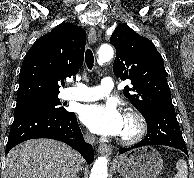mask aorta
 I'll return each instance as SVG.
<instances>
[{
  "mask_svg": "<svg viewBox=\"0 0 194 178\" xmlns=\"http://www.w3.org/2000/svg\"><path fill=\"white\" fill-rule=\"evenodd\" d=\"M114 51L113 48L104 44L100 47L98 51V60L100 63H105L113 58ZM108 176V159L106 156L99 157L91 170L90 178H107Z\"/></svg>",
  "mask_w": 194,
  "mask_h": 178,
  "instance_id": "1",
  "label": "aorta"
}]
</instances>
